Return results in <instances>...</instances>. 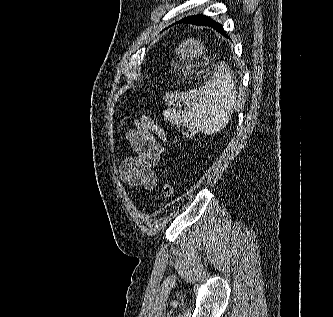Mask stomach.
Here are the masks:
<instances>
[{
	"instance_id": "1",
	"label": "stomach",
	"mask_w": 333,
	"mask_h": 317,
	"mask_svg": "<svg viewBox=\"0 0 333 317\" xmlns=\"http://www.w3.org/2000/svg\"><path fill=\"white\" fill-rule=\"evenodd\" d=\"M204 47L199 41L194 39H188L182 41L179 47L176 49V55L181 58V66L185 69V73H190L195 67L193 53L202 54ZM203 67H206L203 66ZM213 69H222V62H213ZM199 75H183L182 76V88H199V82H230V81H210V74H216V71H197Z\"/></svg>"
}]
</instances>
